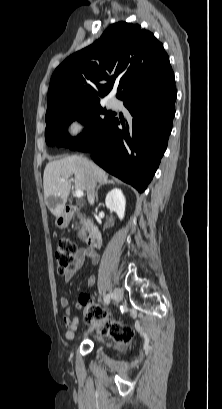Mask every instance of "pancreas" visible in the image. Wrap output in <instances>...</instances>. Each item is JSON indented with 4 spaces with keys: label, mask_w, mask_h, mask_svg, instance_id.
Instances as JSON below:
<instances>
[{
    "label": "pancreas",
    "mask_w": 222,
    "mask_h": 409,
    "mask_svg": "<svg viewBox=\"0 0 222 409\" xmlns=\"http://www.w3.org/2000/svg\"><path fill=\"white\" fill-rule=\"evenodd\" d=\"M77 215H78V218L80 220L79 224L81 225V230L79 231V234H80V237L82 239H85L86 238V231L88 230V222H87V219L81 213H78ZM76 225H77V223H76Z\"/></svg>",
    "instance_id": "1"
}]
</instances>
